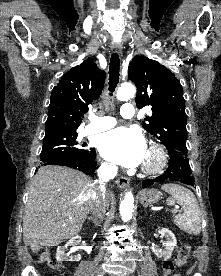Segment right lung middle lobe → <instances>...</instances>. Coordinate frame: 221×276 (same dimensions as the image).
Returning a JSON list of instances; mask_svg holds the SVG:
<instances>
[{"label": "right lung middle lobe", "instance_id": "1", "mask_svg": "<svg viewBox=\"0 0 221 276\" xmlns=\"http://www.w3.org/2000/svg\"><path fill=\"white\" fill-rule=\"evenodd\" d=\"M78 134L75 132H55L45 134L43 147L40 154L42 162L66 158H82L93 154L94 150L83 148L76 139Z\"/></svg>", "mask_w": 221, "mask_h": 276}]
</instances>
